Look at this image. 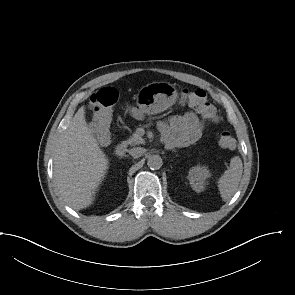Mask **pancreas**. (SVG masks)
I'll list each match as a JSON object with an SVG mask.
<instances>
[{
  "label": "pancreas",
  "instance_id": "obj_1",
  "mask_svg": "<svg viewBox=\"0 0 295 295\" xmlns=\"http://www.w3.org/2000/svg\"><path fill=\"white\" fill-rule=\"evenodd\" d=\"M127 144L135 146L139 144L145 143L144 139L138 134V132H135L132 134V136L126 141Z\"/></svg>",
  "mask_w": 295,
  "mask_h": 295
}]
</instances>
